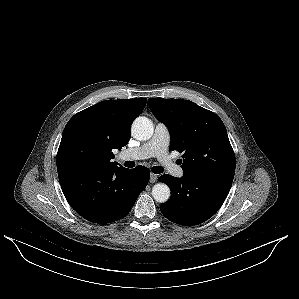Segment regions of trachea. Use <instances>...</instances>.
Here are the masks:
<instances>
[{"mask_svg": "<svg viewBox=\"0 0 299 299\" xmlns=\"http://www.w3.org/2000/svg\"><path fill=\"white\" fill-rule=\"evenodd\" d=\"M125 166L131 168V167L135 166V163L133 161H126ZM163 171H164V169L161 166L152 167V172L155 173V174H160Z\"/></svg>", "mask_w": 299, "mask_h": 299, "instance_id": "obj_1", "label": "trachea"}]
</instances>
